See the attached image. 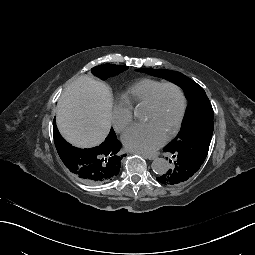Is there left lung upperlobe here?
I'll return each mask as SVG.
<instances>
[{"mask_svg": "<svg viewBox=\"0 0 255 255\" xmlns=\"http://www.w3.org/2000/svg\"><path fill=\"white\" fill-rule=\"evenodd\" d=\"M136 71L164 78L180 86L185 92L190 103L187 117L182 130L174 140L168 142L167 147L171 151H179L182 157L196 164L199 170L208 154L214 128V112L204 89L180 72L149 68L137 69ZM163 151L166 152L164 149ZM169 157L171 158V156Z\"/></svg>", "mask_w": 255, "mask_h": 255, "instance_id": "obj_1", "label": "left lung upper lobe"}]
</instances>
